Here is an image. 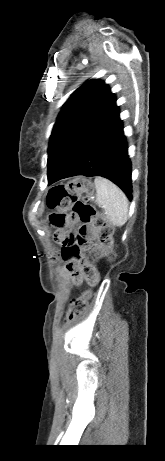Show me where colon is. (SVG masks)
<instances>
[{"label": "colon", "instance_id": "5ec220e1", "mask_svg": "<svg viewBox=\"0 0 165 461\" xmlns=\"http://www.w3.org/2000/svg\"><path fill=\"white\" fill-rule=\"evenodd\" d=\"M91 187L88 179L80 178L51 188L46 203L48 208L56 212L50 215L49 221L58 229L65 228L73 219H79L85 225H95L97 241L94 246L99 255L104 256L111 250L114 227L99 216L87 201L86 196ZM80 197H84V200ZM87 246H90L88 242ZM83 273L91 286L98 283L99 275L93 265L86 263V266H83ZM90 298L91 291L87 290L72 300L67 313L68 322L77 320L85 312Z\"/></svg>", "mask_w": 165, "mask_h": 461}]
</instances>
